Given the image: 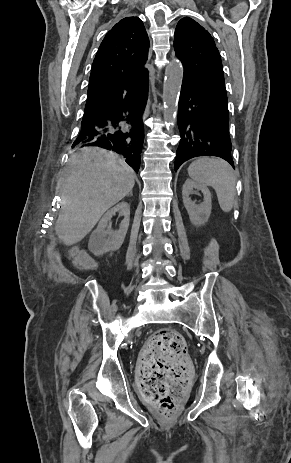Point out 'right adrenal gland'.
Returning <instances> with one entry per match:
<instances>
[{"label":"right adrenal gland","mask_w":291,"mask_h":463,"mask_svg":"<svg viewBox=\"0 0 291 463\" xmlns=\"http://www.w3.org/2000/svg\"><path fill=\"white\" fill-rule=\"evenodd\" d=\"M129 195H131V196L133 195V194H132V191L129 193Z\"/></svg>","instance_id":"right-adrenal-gland-1"}]
</instances>
